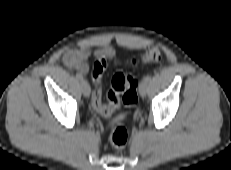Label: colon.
<instances>
[{"mask_svg": "<svg viewBox=\"0 0 231 170\" xmlns=\"http://www.w3.org/2000/svg\"><path fill=\"white\" fill-rule=\"evenodd\" d=\"M162 57L161 50L157 47L148 48L140 57L139 60L132 59L125 62L126 65L133 67L139 64H147L156 62ZM115 65H119L121 62L115 60ZM108 67V61L106 59H98L93 64L92 80L95 84V90L92 94V106L103 116H110L114 108H116L120 102L126 107H134L138 101L137 97V81L130 75H126L122 72H117L111 81L110 90L107 93L108 104H104L101 93V82L105 70ZM128 142V132L122 126H112L110 131V143L116 150H122L126 147Z\"/></svg>", "mask_w": 231, "mask_h": 170, "instance_id": "colon-1", "label": "colon"}]
</instances>
